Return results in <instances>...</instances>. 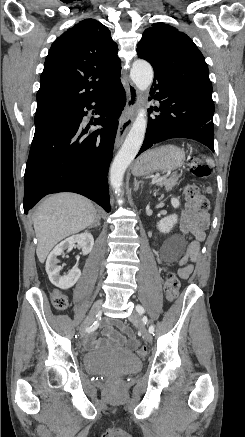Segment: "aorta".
<instances>
[{
	"mask_svg": "<svg viewBox=\"0 0 245 437\" xmlns=\"http://www.w3.org/2000/svg\"><path fill=\"white\" fill-rule=\"evenodd\" d=\"M130 77L137 86L138 90L143 93L148 90L152 83L153 69L147 61L141 59L136 60L132 65ZM146 127V109L140 108L137 117L110 169V183L116 194L120 193L124 173L137 155L143 143Z\"/></svg>",
	"mask_w": 245,
	"mask_h": 437,
	"instance_id": "obj_1",
	"label": "aorta"
}]
</instances>
